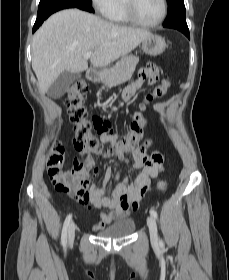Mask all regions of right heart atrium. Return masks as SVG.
Masks as SVG:
<instances>
[{"label": "right heart atrium", "instance_id": "obj_1", "mask_svg": "<svg viewBox=\"0 0 229 280\" xmlns=\"http://www.w3.org/2000/svg\"><path fill=\"white\" fill-rule=\"evenodd\" d=\"M117 0H91L93 6L104 17H107L116 5Z\"/></svg>", "mask_w": 229, "mask_h": 280}]
</instances>
